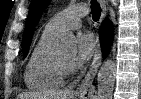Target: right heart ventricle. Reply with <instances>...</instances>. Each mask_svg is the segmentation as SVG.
Segmentation results:
<instances>
[{"mask_svg":"<svg viewBox=\"0 0 141 99\" xmlns=\"http://www.w3.org/2000/svg\"><path fill=\"white\" fill-rule=\"evenodd\" d=\"M57 35L44 30L29 57L24 81L34 91H51L64 85L65 77L54 61V43Z\"/></svg>","mask_w":141,"mask_h":99,"instance_id":"1","label":"right heart ventricle"}]
</instances>
